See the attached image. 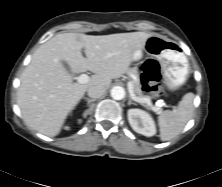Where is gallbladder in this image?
<instances>
[{"label":"gallbladder","instance_id":"1","mask_svg":"<svg viewBox=\"0 0 222 187\" xmlns=\"http://www.w3.org/2000/svg\"><path fill=\"white\" fill-rule=\"evenodd\" d=\"M62 64H63V66L65 67V69H66L69 73L72 72V71H71V68L69 67V65H68L65 61H62Z\"/></svg>","mask_w":222,"mask_h":187}]
</instances>
